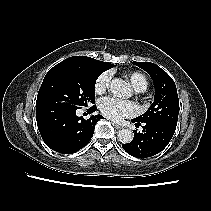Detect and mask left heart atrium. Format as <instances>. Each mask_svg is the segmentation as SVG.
I'll return each mask as SVG.
<instances>
[{
	"label": "left heart atrium",
	"mask_w": 211,
	"mask_h": 211,
	"mask_svg": "<svg viewBox=\"0 0 211 211\" xmlns=\"http://www.w3.org/2000/svg\"><path fill=\"white\" fill-rule=\"evenodd\" d=\"M99 110L105 117L113 121H121L126 117L135 116L138 112V107L131 101L106 97L100 100Z\"/></svg>",
	"instance_id": "left-heart-atrium-1"
}]
</instances>
